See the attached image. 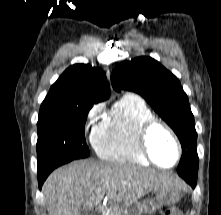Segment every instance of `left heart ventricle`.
Instances as JSON below:
<instances>
[{"instance_id":"1","label":"left heart ventricle","mask_w":221,"mask_h":215,"mask_svg":"<svg viewBox=\"0 0 221 215\" xmlns=\"http://www.w3.org/2000/svg\"><path fill=\"white\" fill-rule=\"evenodd\" d=\"M150 152L160 165L169 166L177 155L176 146L170 135L161 127H155L148 139Z\"/></svg>"}]
</instances>
